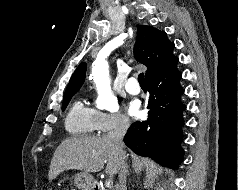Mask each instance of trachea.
I'll return each instance as SVG.
<instances>
[{"mask_svg": "<svg viewBox=\"0 0 238 190\" xmlns=\"http://www.w3.org/2000/svg\"><path fill=\"white\" fill-rule=\"evenodd\" d=\"M138 82H139L141 87H145L146 86L145 78H144V73H140L138 75Z\"/></svg>", "mask_w": 238, "mask_h": 190, "instance_id": "1", "label": "trachea"}]
</instances>
